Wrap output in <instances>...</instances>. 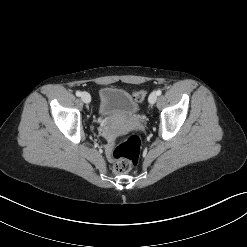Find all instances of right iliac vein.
Masks as SVG:
<instances>
[{"instance_id":"right-iliac-vein-1","label":"right iliac vein","mask_w":247,"mask_h":247,"mask_svg":"<svg viewBox=\"0 0 247 247\" xmlns=\"http://www.w3.org/2000/svg\"><path fill=\"white\" fill-rule=\"evenodd\" d=\"M81 99H82V101H83L84 103H90V102H91V96H90V94L87 93V92H83V93L81 94Z\"/></svg>"}]
</instances>
